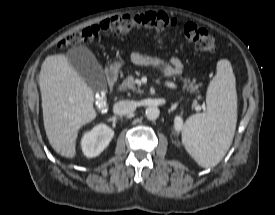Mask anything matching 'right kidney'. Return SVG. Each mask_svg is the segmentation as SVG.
<instances>
[{"label":"right kidney","mask_w":275,"mask_h":215,"mask_svg":"<svg viewBox=\"0 0 275 215\" xmlns=\"http://www.w3.org/2000/svg\"><path fill=\"white\" fill-rule=\"evenodd\" d=\"M114 131L105 124L95 126L84 134L81 140L82 151L87 157H96L109 145Z\"/></svg>","instance_id":"ca27d5eb"}]
</instances>
